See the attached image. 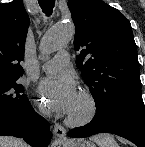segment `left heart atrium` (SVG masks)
<instances>
[{
    "mask_svg": "<svg viewBox=\"0 0 145 147\" xmlns=\"http://www.w3.org/2000/svg\"><path fill=\"white\" fill-rule=\"evenodd\" d=\"M39 91L48 108L59 114H70L78 98L74 79L69 75L43 80Z\"/></svg>",
    "mask_w": 145,
    "mask_h": 147,
    "instance_id": "obj_1",
    "label": "left heart atrium"
}]
</instances>
